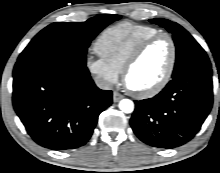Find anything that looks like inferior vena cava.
Instances as JSON below:
<instances>
[{
	"mask_svg": "<svg viewBox=\"0 0 220 173\" xmlns=\"http://www.w3.org/2000/svg\"><path fill=\"white\" fill-rule=\"evenodd\" d=\"M94 80L96 86L100 89L109 90L112 88V84L104 78L96 77Z\"/></svg>",
	"mask_w": 220,
	"mask_h": 173,
	"instance_id": "1",
	"label": "inferior vena cava"
}]
</instances>
